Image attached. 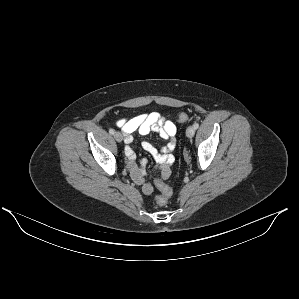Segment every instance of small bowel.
I'll return each mask as SVG.
<instances>
[{"label": "small bowel", "instance_id": "small-bowel-1", "mask_svg": "<svg viewBox=\"0 0 299 299\" xmlns=\"http://www.w3.org/2000/svg\"><path fill=\"white\" fill-rule=\"evenodd\" d=\"M116 125L122 130L124 134V141L127 144L125 153L127 156V165L135 182L142 186L144 194L149 195L153 192V186L146 181L145 169L147 167V160L142 159L140 164L136 163V155L130 144L133 142V134L139 133L147 135L150 132H156L165 140V145L160 149L156 148L149 142H142L141 146L144 151L150 154L156 162V170L159 176L155 182L159 184L165 181L171 173L170 167L175 160L174 151L176 148V126L175 124L157 112L140 114L135 117L120 119Z\"/></svg>", "mask_w": 299, "mask_h": 299}]
</instances>
